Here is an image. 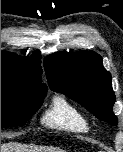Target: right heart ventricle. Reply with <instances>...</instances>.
<instances>
[{
	"label": "right heart ventricle",
	"instance_id": "e07e8e85",
	"mask_svg": "<svg viewBox=\"0 0 123 152\" xmlns=\"http://www.w3.org/2000/svg\"><path fill=\"white\" fill-rule=\"evenodd\" d=\"M42 123L49 128L76 133H88L91 128L86 114L62 96H55L42 117Z\"/></svg>",
	"mask_w": 123,
	"mask_h": 152
}]
</instances>
